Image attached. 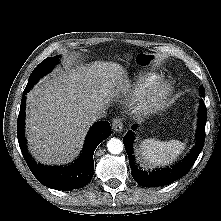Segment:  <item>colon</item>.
Segmentation results:
<instances>
[{"label": "colon", "instance_id": "5ec220e1", "mask_svg": "<svg viewBox=\"0 0 221 221\" xmlns=\"http://www.w3.org/2000/svg\"><path fill=\"white\" fill-rule=\"evenodd\" d=\"M148 60H149V59H148L147 56H141V57L139 58V61H140V63H142V64L147 63Z\"/></svg>", "mask_w": 221, "mask_h": 221}]
</instances>
